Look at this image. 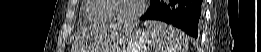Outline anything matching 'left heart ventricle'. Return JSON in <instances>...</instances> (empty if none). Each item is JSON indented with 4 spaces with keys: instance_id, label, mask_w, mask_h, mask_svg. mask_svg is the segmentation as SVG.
Returning <instances> with one entry per match:
<instances>
[{
    "instance_id": "b2bd125f",
    "label": "left heart ventricle",
    "mask_w": 261,
    "mask_h": 52,
    "mask_svg": "<svg viewBox=\"0 0 261 52\" xmlns=\"http://www.w3.org/2000/svg\"><path fill=\"white\" fill-rule=\"evenodd\" d=\"M114 6L112 16L114 18H127L134 14L140 5V0H112Z\"/></svg>"
}]
</instances>
